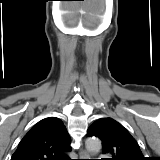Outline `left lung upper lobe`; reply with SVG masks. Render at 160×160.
Masks as SVG:
<instances>
[{
  "instance_id": "obj_1",
  "label": "left lung upper lobe",
  "mask_w": 160,
  "mask_h": 160,
  "mask_svg": "<svg viewBox=\"0 0 160 160\" xmlns=\"http://www.w3.org/2000/svg\"><path fill=\"white\" fill-rule=\"evenodd\" d=\"M87 135L98 137L102 141L103 154L112 156L107 160H146L137 141L112 118L95 121L89 127Z\"/></svg>"
}]
</instances>
